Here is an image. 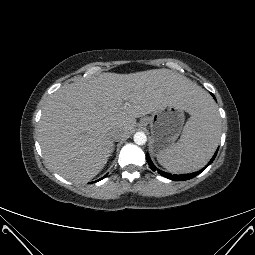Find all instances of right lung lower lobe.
I'll list each match as a JSON object with an SVG mask.
<instances>
[{"mask_svg": "<svg viewBox=\"0 0 255 255\" xmlns=\"http://www.w3.org/2000/svg\"><path fill=\"white\" fill-rule=\"evenodd\" d=\"M103 178H105V176H104ZM103 178H101V179H103ZM101 179H99V180H101ZM99 180H98V181H99ZM96 182H97V181H96Z\"/></svg>", "mask_w": 255, "mask_h": 255, "instance_id": "right-lung-lower-lobe-1", "label": "right lung lower lobe"}]
</instances>
